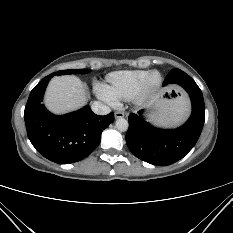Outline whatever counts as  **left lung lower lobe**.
Wrapping results in <instances>:
<instances>
[{
	"label": "left lung lower lobe",
	"instance_id": "1",
	"mask_svg": "<svg viewBox=\"0 0 233 233\" xmlns=\"http://www.w3.org/2000/svg\"><path fill=\"white\" fill-rule=\"evenodd\" d=\"M170 84L180 85L191 98L192 114L184 125L165 130L146 122L143 111L128 116L126 143L129 150L137 158L158 166L182 159L196 144L205 120L203 95L195 81L180 69H173L164 81V85Z\"/></svg>",
	"mask_w": 233,
	"mask_h": 233
}]
</instances>
